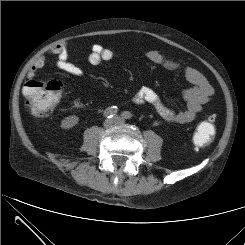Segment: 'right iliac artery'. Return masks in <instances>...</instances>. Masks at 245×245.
<instances>
[{"label": "right iliac artery", "instance_id": "right-iliac-artery-1", "mask_svg": "<svg viewBox=\"0 0 245 245\" xmlns=\"http://www.w3.org/2000/svg\"><path fill=\"white\" fill-rule=\"evenodd\" d=\"M117 112H118V108L116 106H111L104 111L103 116L109 119L112 118L114 115H116Z\"/></svg>", "mask_w": 245, "mask_h": 245}]
</instances>
